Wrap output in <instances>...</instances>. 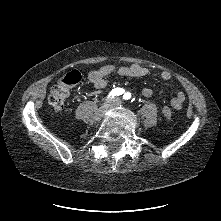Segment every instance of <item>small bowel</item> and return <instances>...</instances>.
Returning a JSON list of instances; mask_svg holds the SVG:
<instances>
[{
	"label": "small bowel",
	"mask_w": 221,
	"mask_h": 221,
	"mask_svg": "<svg viewBox=\"0 0 221 221\" xmlns=\"http://www.w3.org/2000/svg\"><path fill=\"white\" fill-rule=\"evenodd\" d=\"M149 73V70L141 66L139 64H132L129 66H121L116 67L114 65H104L98 69L92 70L88 74L89 81L95 86L97 89H103L106 86V80L108 77H110L113 74H118L125 77H131V78H140L144 77ZM161 78L165 81H171L172 80V74L168 71H162L161 72ZM142 94L145 97H151L153 94V91L150 88H144L142 90ZM185 100V94L182 91H179L171 101V106L176 111H180L183 105V102Z\"/></svg>",
	"instance_id": "small-bowel-1"
}]
</instances>
